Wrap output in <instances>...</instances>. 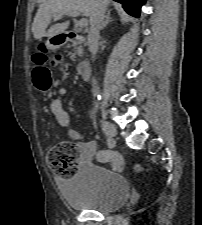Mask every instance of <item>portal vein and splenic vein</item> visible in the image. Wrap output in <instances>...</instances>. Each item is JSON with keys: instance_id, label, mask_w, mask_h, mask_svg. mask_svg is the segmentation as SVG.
I'll return each instance as SVG.
<instances>
[{"instance_id": "18ae733b", "label": "portal vein and splenic vein", "mask_w": 202, "mask_h": 225, "mask_svg": "<svg viewBox=\"0 0 202 225\" xmlns=\"http://www.w3.org/2000/svg\"><path fill=\"white\" fill-rule=\"evenodd\" d=\"M62 15L64 14H55L53 15L54 16V19H60L62 17ZM66 15H69V16H72V17H76L79 15V12L77 11H71V12H68ZM79 27L81 28H84L88 25V20L86 18H82L79 23H78Z\"/></svg>"}]
</instances>
